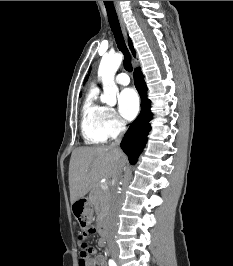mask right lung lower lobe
Returning a JSON list of instances; mask_svg holds the SVG:
<instances>
[{
	"label": "right lung lower lobe",
	"instance_id": "98d812e1",
	"mask_svg": "<svg viewBox=\"0 0 233 266\" xmlns=\"http://www.w3.org/2000/svg\"><path fill=\"white\" fill-rule=\"evenodd\" d=\"M135 86L141 96V113L130 125L126 132L121 148L128 155L129 162L135 164L138 160L147 142V135L151 130L149 122L152 120V112L150 111V100L147 98V87L144 82V75L140 68L134 71Z\"/></svg>",
	"mask_w": 233,
	"mask_h": 266
}]
</instances>
